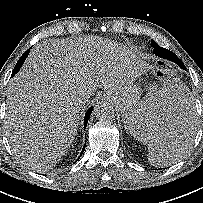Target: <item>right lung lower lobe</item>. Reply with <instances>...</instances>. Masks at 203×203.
<instances>
[{"label": "right lung lower lobe", "mask_w": 203, "mask_h": 203, "mask_svg": "<svg viewBox=\"0 0 203 203\" xmlns=\"http://www.w3.org/2000/svg\"><path fill=\"white\" fill-rule=\"evenodd\" d=\"M29 51H30V49H28V50L21 56V58L18 60L16 66H15V71L18 72L19 69L22 67V65H23V63H24V61H25V59L27 58V56H28V54H29ZM92 110H93V107H90V108L87 110L86 114H85V118H84V127H85V128H86V125H87V123H88V120H89V117H90V115H91ZM84 150H85V148H83L82 151H84Z\"/></svg>", "instance_id": "98d812e1"}]
</instances>
